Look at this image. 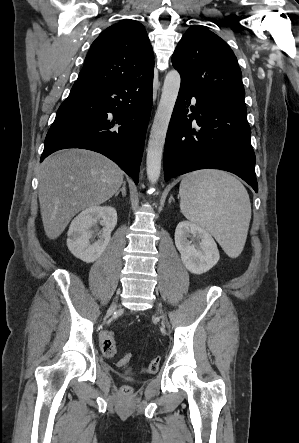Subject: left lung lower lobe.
Returning <instances> with one entry per match:
<instances>
[{
    "label": "left lung lower lobe",
    "instance_id": "1",
    "mask_svg": "<svg viewBox=\"0 0 299 443\" xmlns=\"http://www.w3.org/2000/svg\"><path fill=\"white\" fill-rule=\"evenodd\" d=\"M196 104L190 106V100ZM190 106V107H189ZM191 110V114L187 113ZM246 109L228 105L181 82L164 150V177L205 168L236 174L258 192Z\"/></svg>",
    "mask_w": 299,
    "mask_h": 443
}]
</instances>
